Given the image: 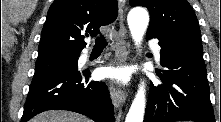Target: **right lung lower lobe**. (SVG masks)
I'll return each mask as SVG.
<instances>
[{"mask_svg": "<svg viewBox=\"0 0 221 122\" xmlns=\"http://www.w3.org/2000/svg\"><path fill=\"white\" fill-rule=\"evenodd\" d=\"M89 77L88 69L33 77L21 122L50 109L78 112L95 122H114V106L106 84Z\"/></svg>", "mask_w": 221, "mask_h": 122, "instance_id": "obj_1", "label": "right lung lower lobe"}]
</instances>
